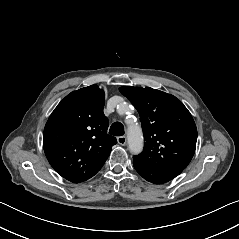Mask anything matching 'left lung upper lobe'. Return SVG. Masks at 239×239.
<instances>
[{
	"mask_svg": "<svg viewBox=\"0 0 239 239\" xmlns=\"http://www.w3.org/2000/svg\"><path fill=\"white\" fill-rule=\"evenodd\" d=\"M140 114L144 150L133 157L142 166L184 170L196 148L197 128L183 103L171 94L146 87L119 88Z\"/></svg>",
	"mask_w": 239,
	"mask_h": 239,
	"instance_id": "obj_1",
	"label": "left lung upper lobe"
}]
</instances>
